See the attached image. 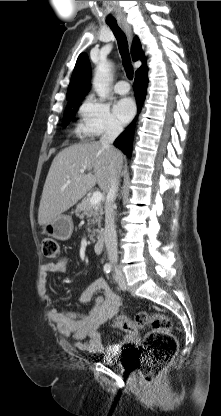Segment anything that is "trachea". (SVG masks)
<instances>
[{
  "mask_svg": "<svg viewBox=\"0 0 221 416\" xmlns=\"http://www.w3.org/2000/svg\"><path fill=\"white\" fill-rule=\"evenodd\" d=\"M111 30L113 31L114 36L116 37L119 52L122 57L123 65L126 71L127 77L132 80L133 79V67L131 64L129 49H128V41L126 38V35L121 30V28L118 26L117 22H108L107 23Z\"/></svg>",
  "mask_w": 221,
  "mask_h": 416,
  "instance_id": "trachea-1",
  "label": "trachea"
}]
</instances>
